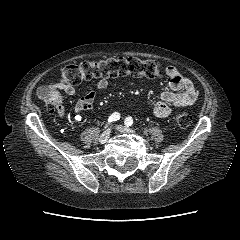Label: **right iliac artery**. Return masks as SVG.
Returning <instances> with one entry per match:
<instances>
[{"mask_svg":"<svg viewBox=\"0 0 240 240\" xmlns=\"http://www.w3.org/2000/svg\"><path fill=\"white\" fill-rule=\"evenodd\" d=\"M120 119V114L118 112L112 113L108 118V123L115 122Z\"/></svg>","mask_w":240,"mask_h":240,"instance_id":"obj_1","label":"right iliac artery"}]
</instances>
